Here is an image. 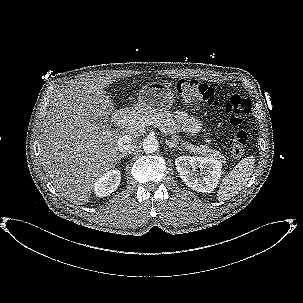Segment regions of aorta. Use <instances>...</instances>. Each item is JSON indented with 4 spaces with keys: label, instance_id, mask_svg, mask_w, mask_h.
Returning <instances> with one entry per match:
<instances>
[{
    "label": "aorta",
    "instance_id": "762f6f07",
    "mask_svg": "<svg viewBox=\"0 0 303 303\" xmlns=\"http://www.w3.org/2000/svg\"><path fill=\"white\" fill-rule=\"evenodd\" d=\"M145 153H154L158 149V141L154 137H147L142 142Z\"/></svg>",
    "mask_w": 303,
    "mask_h": 303
}]
</instances>
